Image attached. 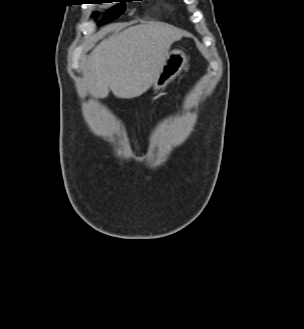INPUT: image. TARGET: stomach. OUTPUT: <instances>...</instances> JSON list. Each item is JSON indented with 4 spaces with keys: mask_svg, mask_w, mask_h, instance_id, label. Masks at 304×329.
Segmentation results:
<instances>
[{
    "mask_svg": "<svg viewBox=\"0 0 304 329\" xmlns=\"http://www.w3.org/2000/svg\"><path fill=\"white\" fill-rule=\"evenodd\" d=\"M187 56L184 51L174 49L169 51L153 84L158 91L165 88L185 67Z\"/></svg>",
    "mask_w": 304,
    "mask_h": 329,
    "instance_id": "stomach-1",
    "label": "stomach"
}]
</instances>
